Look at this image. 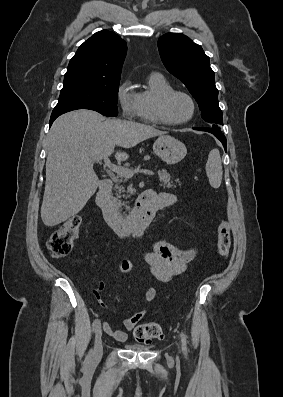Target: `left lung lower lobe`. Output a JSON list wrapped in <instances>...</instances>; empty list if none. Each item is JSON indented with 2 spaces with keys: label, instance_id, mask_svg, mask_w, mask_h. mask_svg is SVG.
Listing matches in <instances>:
<instances>
[{
  "label": "left lung lower lobe",
  "instance_id": "left-lung-lower-lobe-1",
  "mask_svg": "<svg viewBox=\"0 0 283 397\" xmlns=\"http://www.w3.org/2000/svg\"><path fill=\"white\" fill-rule=\"evenodd\" d=\"M193 129L212 133L222 142L224 149L226 151V137L224 136V134L222 132L215 131L212 128H193Z\"/></svg>",
  "mask_w": 283,
  "mask_h": 397
}]
</instances>
